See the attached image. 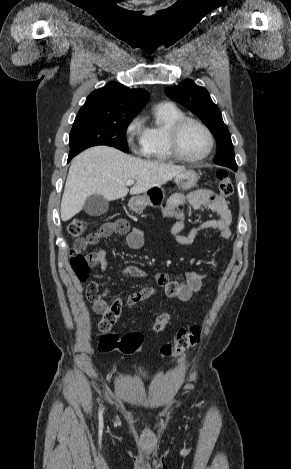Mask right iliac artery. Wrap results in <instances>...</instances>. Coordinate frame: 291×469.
Listing matches in <instances>:
<instances>
[{"label": "right iliac artery", "instance_id": "1", "mask_svg": "<svg viewBox=\"0 0 291 469\" xmlns=\"http://www.w3.org/2000/svg\"><path fill=\"white\" fill-rule=\"evenodd\" d=\"M99 418H100V420H102V411L101 410L99 411Z\"/></svg>", "mask_w": 291, "mask_h": 469}]
</instances>
